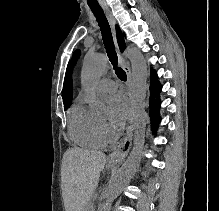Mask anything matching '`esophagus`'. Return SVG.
<instances>
[{"label": "esophagus", "mask_w": 219, "mask_h": 211, "mask_svg": "<svg viewBox=\"0 0 219 211\" xmlns=\"http://www.w3.org/2000/svg\"><path fill=\"white\" fill-rule=\"evenodd\" d=\"M102 8L106 14V17L108 19V22L110 24L113 37H114V43L117 51V56L119 60V64L122 66L123 70L126 73L127 76V89H128V96L129 100L132 105V74L129 65L126 63L122 52L119 49L118 43H117V38H116V20L114 16L112 15L109 7L107 5H102ZM133 131H134V125H133V117L131 116L129 122H128V127L126 130V134L123 138V140L113 149L112 153L108 156V163L119 165L124 159L126 158L131 145H132V138H133Z\"/></svg>", "instance_id": "1"}]
</instances>
